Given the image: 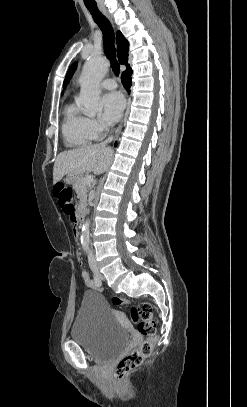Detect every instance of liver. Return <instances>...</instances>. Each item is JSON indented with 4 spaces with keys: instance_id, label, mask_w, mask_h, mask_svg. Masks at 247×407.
Listing matches in <instances>:
<instances>
[{
    "instance_id": "liver-1",
    "label": "liver",
    "mask_w": 247,
    "mask_h": 407,
    "mask_svg": "<svg viewBox=\"0 0 247 407\" xmlns=\"http://www.w3.org/2000/svg\"><path fill=\"white\" fill-rule=\"evenodd\" d=\"M111 157L112 151L99 144L64 151L54 163L53 183L59 182L68 174L81 176L85 172H94L99 175L105 171Z\"/></svg>"
}]
</instances>
